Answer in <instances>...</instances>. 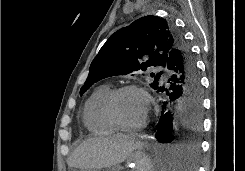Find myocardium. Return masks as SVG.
Instances as JSON below:
<instances>
[{"instance_id":"myocardium-1","label":"myocardium","mask_w":245,"mask_h":171,"mask_svg":"<svg viewBox=\"0 0 245 171\" xmlns=\"http://www.w3.org/2000/svg\"><path fill=\"white\" fill-rule=\"evenodd\" d=\"M129 91L140 93L146 99L147 106L150 105V96L148 92L146 91V89H144L143 87L137 84H126L118 88H115L110 92L105 102V110H106V114L108 118L118 129L122 131H137L146 126L147 120H148V110H147L145 118L139 124H136V125H129V124L124 123L120 119L118 115V111H117V102H118L119 97L122 94L129 92Z\"/></svg>"}]
</instances>
